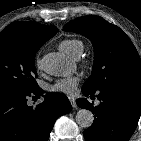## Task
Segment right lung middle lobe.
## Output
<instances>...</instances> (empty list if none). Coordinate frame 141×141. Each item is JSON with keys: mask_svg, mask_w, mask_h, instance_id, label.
<instances>
[{"mask_svg": "<svg viewBox=\"0 0 141 141\" xmlns=\"http://www.w3.org/2000/svg\"><path fill=\"white\" fill-rule=\"evenodd\" d=\"M44 43L27 32L0 33V90L31 92L38 88L34 58Z\"/></svg>", "mask_w": 141, "mask_h": 141, "instance_id": "obj_1", "label": "right lung middle lobe"}]
</instances>
